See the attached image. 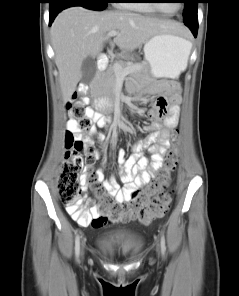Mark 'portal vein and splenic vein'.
<instances>
[{
	"instance_id": "18ae733b",
	"label": "portal vein and splenic vein",
	"mask_w": 239,
	"mask_h": 296,
	"mask_svg": "<svg viewBox=\"0 0 239 296\" xmlns=\"http://www.w3.org/2000/svg\"><path fill=\"white\" fill-rule=\"evenodd\" d=\"M118 34H119V32L113 30V31L108 32L107 37H114ZM113 65H114L115 73L118 76H126L129 73H132V72L140 69V67L133 66V65L128 66L126 68H122L117 62H115Z\"/></svg>"
}]
</instances>
